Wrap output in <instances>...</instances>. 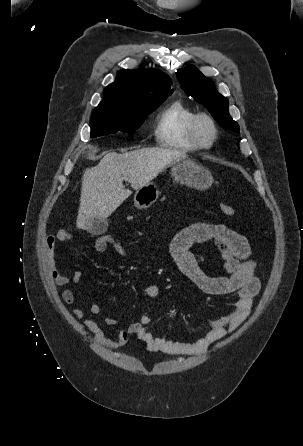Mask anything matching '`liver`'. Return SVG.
<instances>
[{"instance_id":"obj_1","label":"liver","mask_w":303,"mask_h":446,"mask_svg":"<svg viewBox=\"0 0 303 446\" xmlns=\"http://www.w3.org/2000/svg\"><path fill=\"white\" fill-rule=\"evenodd\" d=\"M185 157L181 151L164 148L107 153L97 166L84 171L77 228L89 230L92 219L105 220L132 194L124 188L123 180L137 190Z\"/></svg>"}]
</instances>
